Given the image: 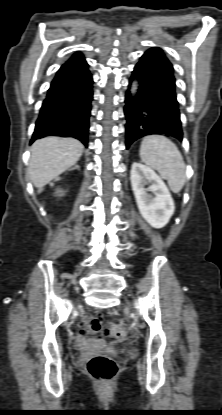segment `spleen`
<instances>
[{
	"instance_id": "1",
	"label": "spleen",
	"mask_w": 222,
	"mask_h": 415,
	"mask_svg": "<svg viewBox=\"0 0 222 415\" xmlns=\"http://www.w3.org/2000/svg\"><path fill=\"white\" fill-rule=\"evenodd\" d=\"M143 163L167 180L172 192L179 193L186 181L185 163L177 146L163 135H149L140 146Z\"/></svg>"
}]
</instances>
